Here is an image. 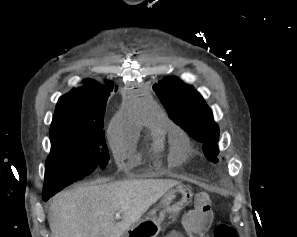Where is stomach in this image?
<instances>
[{
  "label": "stomach",
  "mask_w": 297,
  "mask_h": 237,
  "mask_svg": "<svg viewBox=\"0 0 297 237\" xmlns=\"http://www.w3.org/2000/svg\"><path fill=\"white\" fill-rule=\"evenodd\" d=\"M193 196L190 189L178 185L167 191L160 205L152 209L144 218L132 224L122 237H157L166 213L177 214L189 204Z\"/></svg>",
  "instance_id": "stomach-1"
}]
</instances>
